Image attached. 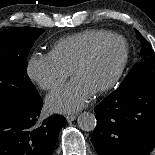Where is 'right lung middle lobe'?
I'll return each instance as SVG.
<instances>
[{
  "label": "right lung middle lobe",
  "instance_id": "right-lung-middle-lobe-1",
  "mask_svg": "<svg viewBox=\"0 0 155 155\" xmlns=\"http://www.w3.org/2000/svg\"><path fill=\"white\" fill-rule=\"evenodd\" d=\"M44 32L34 27L0 31V107H31L39 97L27 74L26 57Z\"/></svg>",
  "mask_w": 155,
  "mask_h": 155
}]
</instances>
